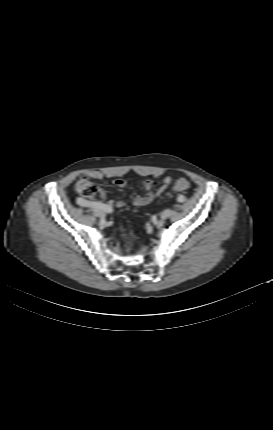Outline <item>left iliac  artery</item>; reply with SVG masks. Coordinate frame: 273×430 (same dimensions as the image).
I'll return each instance as SVG.
<instances>
[{
	"label": "left iliac artery",
	"mask_w": 273,
	"mask_h": 430,
	"mask_svg": "<svg viewBox=\"0 0 273 430\" xmlns=\"http://www.w3.org/2000/svg\"><path fill=\"white\" fill-rule=\"evenodd\" d=\"M178 202L185 203L186 202V196L185 195H180L179 199H178Z\"/></svg>",
	"instance_id": "left-iliac-artery-1"
}]
</instances>
